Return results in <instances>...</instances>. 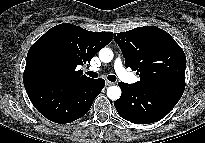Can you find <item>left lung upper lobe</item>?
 Segmentation results:
<instances>
[{
	"mask_svg": "<svg viewBox=\"0 0 205 143\" xmlns=\"http://www.w3.org/2000/svg\"><path fill=\"white\" fill-rule=\"evenodd\" d=\"M115 42L125 57V66L137 71L136 86L185 81L186 56L166 31L155 26L117 33Z\"/></svg>",
	"mask_w": 205,
	"mask_h": 143,
	"instance_id": "obj_1",
	"label": "left lung upper lobe"
}]
</instances>
